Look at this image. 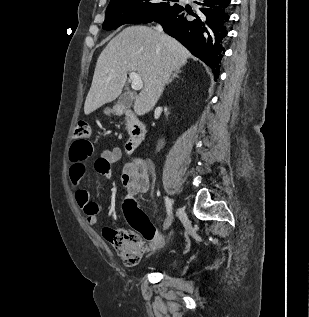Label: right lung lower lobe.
<instances>
[{
  "instance_id": "98d812e1",
  "label": "right lung lower lobe",
  "mask_w": 309,
  "mask_h": 317,
  "mask_svg": "<svg viewBox=\"0 0 309 317\" xmlns=\"http://www.w3.org/2000/svg\"><path fill=\"white\" fill-rule=\"evenodd\" d=\"M231 0H198L196 10L177 7L151 17L142 23L156 21L164 31L181 42L194 56L219 74L220 61L227 36Z\"/></svg>"
}]
</instances>
